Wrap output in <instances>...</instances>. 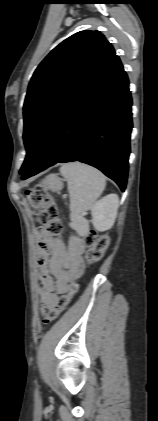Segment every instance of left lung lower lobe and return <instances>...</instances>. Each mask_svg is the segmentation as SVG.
Instances as JSON below:
<instances>
[{
    "instance_id": "0a47b994",
    "label": "left lung lower lobe",
    "mask_w": 158,
    "mask_h": 421,
    "mask_svg": "<svg viewBox=\"0 0 158 421\" xmlns=\"http://www.w3.org/2000/svg\"><path fill=\"white\" fill-rule=\"evenodd\" d=\"M128 85L115 55L62 111L22 179L56 163L80 161L101 170L124 191L132 129Z\"/></svg>"
}]
</instances>
